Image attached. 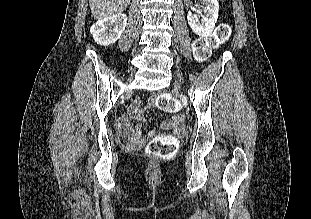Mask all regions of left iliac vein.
<instances>
[{
    "label": "left iliac vein",
    "mask_w": 311,
    "mask_h": 219,
    "mask_svg": "<svg viewBox=\"0 0 311 219\" xmlns=\"http://www.w3.org/2000/svg\"><path fill=\"white\" fill-rule=\"evenodd\" d=\"M176 87H180V84L178 82L175 83Z\"/></svg>",
    "instance_id": "left-iliac-vein-1"
}]
</instances>
